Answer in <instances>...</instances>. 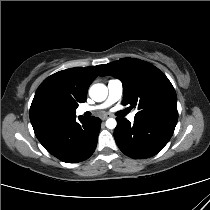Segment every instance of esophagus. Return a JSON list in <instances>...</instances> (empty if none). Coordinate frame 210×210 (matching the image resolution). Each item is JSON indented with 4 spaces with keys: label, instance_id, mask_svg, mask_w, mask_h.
<instances>
[{
    "label": "esophagus",
    "instance_id": "1",
    "mask_svg": "<svg viewBox=\"0 0 210 210\" xmlns=\"http://www.w3.org/2000/svg\"><path fill=\"white\" fill-rule=\"evenodd\" d=\"M108 117H109L108 115H102V116H101V119H102V120H106Z\"/></svg>",
    "mask_w": 210,
    "mask_h": 210
}]
</instances>
